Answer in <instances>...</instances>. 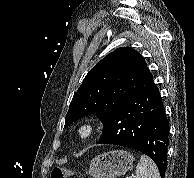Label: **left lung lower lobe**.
<instances>
[{
	"mask_svg": "<svg viewBox=\"0 0 194 178\" xmlns=\"http://www.w3.org/2000/svg\"><path fill=\"white\" fill-rule=\"evenodd\" d=\"M168 136L169 121L159 89L153 83L110 112L103 122V132L97 144L120 145L146 154L164 178Z\"/></svg>",
	"mask_w": 194,
	"mask_h": 178,
	"instance_id": "0a47b994",
	"label": "left lung lower lobe"
}]
</instances>
